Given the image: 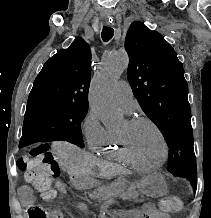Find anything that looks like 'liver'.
Listing matches in <instances>:
<instances>
[{
  "label": "liver",
  "instance_id": "liver-1",
  "mask_svg": "<svg viewBox=\"0 0 211 218\" xmlns=\"http://www.w3.org/2000/svg\"><path fill=\"white\" fill-rule=\"evenodd\" d=\"M51 148L52 154L57 156L58 164L65 168L70 178H73V176H90L95 166H98L101 174H105V176L106 174H109V176L123 174V170L118 166H106L93 154L82 152L77 146H72L68 142H53Z\"/></svg>",
  "mask_w": 211,
  "mask_h": 218
}]
</instances>
